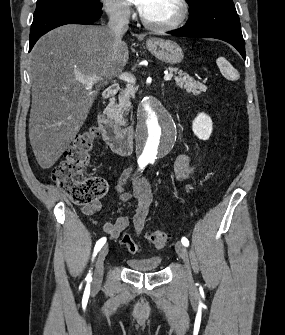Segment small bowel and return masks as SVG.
Wrapping results in <instances>:
<instances>
[{
    "label": "small bowel",
    "instance_id": "small-bowel-1",
    "mask_svg": "<svg viewBox=\"0 0 285 335\" xmlns=\"http://www.w3.org/2000/svg\"><path fill=\"white\" fill-rule=\"evenodd\" d=\"M194 170V166L188 155L182 154L177 157L174 163V173L178 180L186 179ZM133 175V170L127 168L123 170L116 185V191L121 201L129 202L135 199L137 206L132 219L133 228L136 234L143 230L146 220L150 214L152 204V188L150 183L144 177H138L134 180L132 191L125 190L126 181ZM101 208V203L97 200L89 205H84L81 211L85 215H93ZM130 224L127 216H119L114 222L103 224V231L112 239H117Z\"/></svg>",
    "mask_w": 285,
    "mask_h": 335
}]
</instances>
